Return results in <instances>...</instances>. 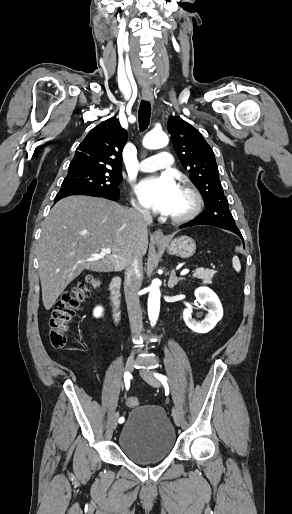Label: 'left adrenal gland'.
Here are the masks:
<instances>
[{"label":"left adrenal gland","instance_id":"1","mask_svg":"<svg viewBox=\"0 0 292 514\" xmlns=\"http://www.w3.org/2000/svg\"><path fill=\"white\" fill-rule=\"evenodd\" d=\"M181 280H185V278H176L175 276V270H172L168 282V288H174L178 282H181Z\"/></svg>","mask_w":292,"mask_h":514}]
</instances>
